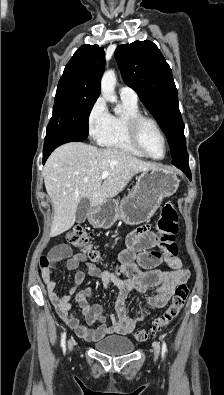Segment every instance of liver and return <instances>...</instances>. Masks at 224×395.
<instances>
[{
	"label": "liver",
	"instance_id": "1",
	"mask_svg": "<svg viewBox=\"0 0 224 395\" xmlns=\"http://www.w3.org/2000/svg\"><path fill=\"white\" fill-rule=\"evenodd\" d=\"M157 164L114 148H98L79 142L58 147L48 158L43 177L54 209L50 236L69 230L75 223L76 209L83 198L97 207L118 195L139 172ZM109 175L102 182L103 172Z\"/></svg>",
	"mask_w": 224,
	"mask_h": 395
}]
</instances>
